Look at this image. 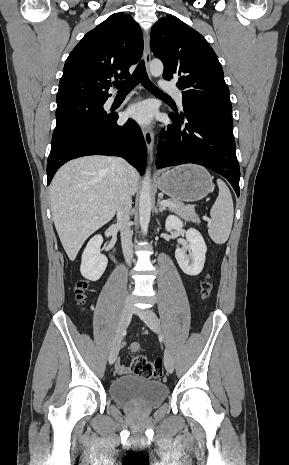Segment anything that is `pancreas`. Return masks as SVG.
I'll list each match as a JSON object with an SVG mask.
<instances>
[{
	"instance_id": "pancreas-1",
	"label": "pancreas",
	"mask_w": 289,
	"mask_h": 465,
	"mask_svg": "<svg viewBox=\"0 0 289 465\" xmlns=\"http://www.w3.org/2000/svg\"><path fill=\"white\" fill-rule=\"evenodd\" d=\"M170 205L168 206L169 210L178 214L180 217H182L186 221H192L194 223H199V217L195 213V210L191 206H186L183 203L174 200V199H168Z\"/></svg>"
}]
</instances>
